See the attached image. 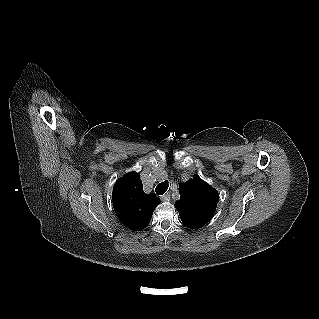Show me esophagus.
<instances>
[{
  "instance_id": "34e87169",
  "label": "esophagus",
  "mask_w": 319,
  "mask_h": 319,
  "mask_svg": "<svg viewBox=\"0 0 319 319\" xmlns=\"http://www.w3.org/2000/svg\"><path fill=\"white\" fill-rule=\"evenodd\" d=\"M160 199H161L162 201H169V200H170V193H165L164 195H162V196L160 197Z\"/></svg>"
}]
</instances>
